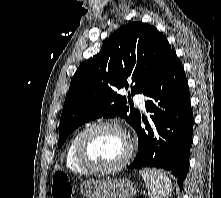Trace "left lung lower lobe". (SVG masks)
<instances>
[{"label":"left lung lower lobe","instance_id":"left-lung-lower-lobe-1","mask_svg":"<svg viewBox=\"0 0 221 198\" xmlns=\"http://www.w3.org/2000/svg\"><path fill=\"white\" fill-rule=\"evenodd\" d=\"M149 97L146 110L152 123L141 127L139 117L133 127L138 135V153L128 169L157 167L177 177L180 190L186 177L192 142L193 113L183 66L171 54L161 74L144 91Z\"/></svg>","mask_w":221,"mask_h":198}]
</instances>
